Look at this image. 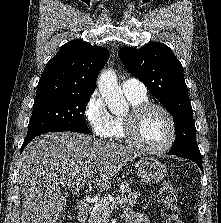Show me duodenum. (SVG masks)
<instances>
[{
    "mask_svg": "<svg viewBox=\"0 0 221 223\" xmlns=\"http://www.w3.org/2000/svg\"><path fill=\"white\" fill-rule=\"evenodd\" d=\"M91 210V204L86 199H80L77 202V216L80 221H84Z\"/></svg>",
    "mask_w": 221,
    "mask_h": 223,
    "instance_id": "duodenum-1",
    "label": "duodenum"
}]
</instances>
